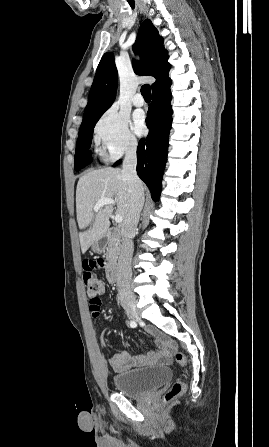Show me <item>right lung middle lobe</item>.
Wrapping results in <instances>:
<instances>
[{
    "mask_svg": "<svg viewBox=\"0 0 269 447\" xmlns=\"http://www.w3.org/2000/svg\"><path fill=\"white\" fill-rule=\"evenodd\" d=\"M97 121L85 125L81 127L79 130L76 152H75V165H74L76 171H79L87 164L92 162V157L90 155L89 148L93 136V129Z\"/></svg>",
    "mask_w": 269,
    "mask_h": 447,
    "instance_id": "1",
    "label": "right lung middle lobe"
}]
</instances>
